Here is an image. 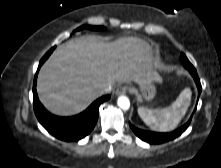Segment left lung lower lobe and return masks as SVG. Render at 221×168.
<instances>
[{
    "label": "left lung lower lobe",
    "instance_id": "left-lung-lower-lobe-1",
    "mask_svg": "<svg viewBox=\"0 0 221 168\" xmlns=\"http://www.w3.org/2000/svg\"><path fill=\"white\" fill-rule=\"evenodd\" d=\"M190 73L193 76L195 83L197 85L198 97H199L201 94V91H202L199 77L197 75L196 70L192 71ZM195 110H196V108H195ZM190 122H191V118L182 127L178 128L172 132H169V133L151 132V131H146V130H141L139 128H136L131 123H129V125H130L131 129L133 130V132L136 134V136L139 137L141 140H143L149 144H161V143H165L170 140H173V139L177 138L178 136H180L188 128Z\"/></svg>",
    "mask_w": 221,
    "mask_h": 168
}]
</instances>
